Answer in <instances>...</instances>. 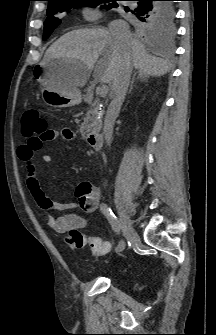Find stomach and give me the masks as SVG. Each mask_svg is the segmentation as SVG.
I'll return each instance as SVG.
<instances>
[{"label":"stomach","mask_w":216,"mask_h":335,"mask_svg":"<svg viewBox=\"0 0 216 335\" xmlns=\"http://www.w3.org/2000/svg\"><path fill=\"white\" fill-rule=\"evenodd\" d=\"M78 64L75 61L55 59L35 67L34 75L43 85L41 95L44 103L55 108H67L80 103V93L66 81V76Z\"/></svg>","instance_id":"0dacf381"}]
</instances>
